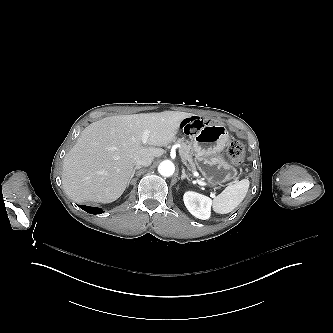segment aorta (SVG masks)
<instances>
[{
  "label": "aorta",
  "mask_w": 333,
  "mask_h": 333,
  "mask_svg": "<svg viewBox=\"0 0 333 333\" xmlns=\"http://www.w3.org/2000/svg\"><path fill=\"white\" fill-rule=\"evenodd\" d=\"M158 171L162 176L169 177L173 175L175 166L170 160H164L158 166Z\"/></svg>",
  "instance_id": "obj_1"
}]
</instances>
